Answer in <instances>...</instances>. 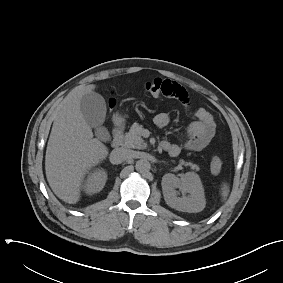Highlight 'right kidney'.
Instances as JSON below:
<instances>
[{
    "instance_id": "obj_1",
    "label": "right kidney",
    "mask_w": 283,
    "mask_h": 283,
    "mask_svg": "<svg viewBox=\"0 0 283 283\" xmlns=\"http://www.w3.org/2000/svg\"><path fill=\"white\" fill-rule=\"evenodd\" d=\"M107 180V174L104 170H96L91 173L85 183L84 189L87 194L100 192Z\"/></svg>"
}]
</instances>
